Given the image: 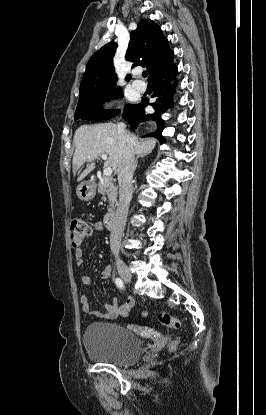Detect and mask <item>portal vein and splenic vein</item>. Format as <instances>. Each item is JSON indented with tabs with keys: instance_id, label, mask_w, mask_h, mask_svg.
Segmentation results:
<instances>
[{
	"instance_id": "18ae733b",
	"label": "portal vein and splenic vein",
	"mask_w": 266,
	"mask_h": 415,
	"mask_svg": "<svg viewBox=\"0 0 266 415\" xmlns=\"http://www.w3.org/2000/svg\"><path fill=\"white\" fill-rule=\"evenodd\" d=\"M101 158L103 160H106L107 159V155L106 154H101ZM112 172H113V169L111 167H109V166H106L104 168V170H103L104 176H111L112 175Z\"/></svg>"
}]
</instances>
